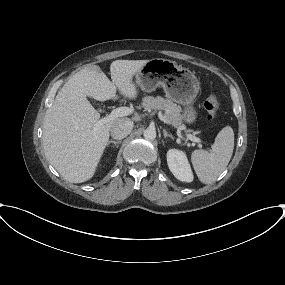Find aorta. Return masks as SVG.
I'll return each mask as SVG.
<instances>
[{"instance_id":"aorta-1","label":"aorta","mask_w":285,"mask_h":285,"mask_svg":"<svg viewBox=\"0 0 285 285\" xmlns=\"http://www.w3.org/2000/svg\"><path fill=\"white\" fill-rule=\"evenodd\" d=\"M143 135H144V138L146 140L151 141V140H154L156 138V131L154 128H147L144 130Z\"/></svg>"}]
</instances>
